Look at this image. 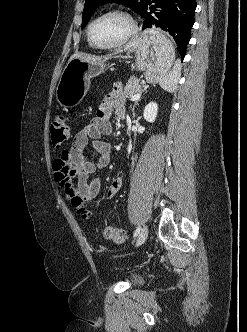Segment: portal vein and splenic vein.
Returning a JSON list of instances; mask_svg holds the SVG:
<instances>
[{"mask_svg": "<svg viewBox=\"0 0 247 332\" xmlns=\"http://www.w3.org/2000/svg\"><path fill=\"white\" fill-rule=\"evenodd\" d=\"M140 97H141V93H137L131 97V101H137L138 99H140Z\"/></svg>", "mask_w": 247, "mask_h": 332, "instance_id": "obj_1", "label": "portal vein and splenic vein"}]
</instances>
